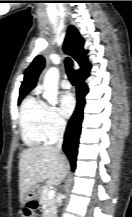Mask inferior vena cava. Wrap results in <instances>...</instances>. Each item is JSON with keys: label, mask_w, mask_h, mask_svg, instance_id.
Masks as SVG:
<instances>
[{"label": "inferior vena cava", "mask_w": 132, "mask_h": 217, "mask_svg": "<svg viewBox=\"0 0 132 217\" xmlns=\"http://www.w3.org/2000/svg\"><path fill=\"white\" fill-rule=\"evenodd\" d=\"M65 128H66V122L64 120H61L58 124V140L56 143V149L61 150L62 145H63V135L65 132Z\"/></svg>", "instance_id": "1"}]
</instances>
